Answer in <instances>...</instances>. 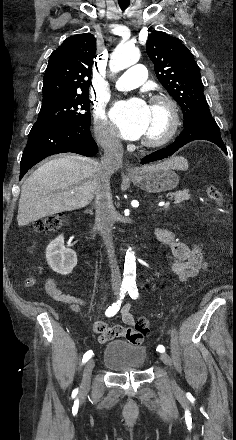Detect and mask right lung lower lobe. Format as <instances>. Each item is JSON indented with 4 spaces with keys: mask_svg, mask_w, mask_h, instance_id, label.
I'll use <instances>...</instances> for the list:
<instances>
[{
    "mask_svg": "<svg viewBox=\"0 0 236 440\" xmlns=\"http://www.w3.org/2000/svg\"><path fill=\"white\" fill-rule=\"evenodd\" d=\"M63 152L94 156L98 152V147L89 127L51 122L35 123L22 155L20 179L45 157Z\"/></svg>",
    "mask_w": 236,
    "mask_h": 440,
    "instance_id": "obj_1",
    "label": "right lung lower lobe"
}]
</instances>
